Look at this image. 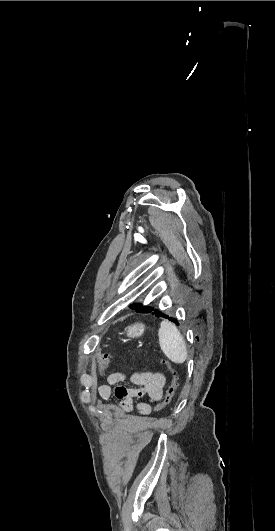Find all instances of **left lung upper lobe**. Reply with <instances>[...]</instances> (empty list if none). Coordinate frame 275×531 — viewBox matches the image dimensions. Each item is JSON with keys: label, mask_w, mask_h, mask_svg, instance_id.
<instances>
[{"label": "left lung upper lobe", "mask_w": 275, "mask_h": 531, "mask_svg": "<svg viewBox=\"0 0 275 531\" xmlns=\"http://www.w3.org/2000/svg\"><path fill=\"white\" fill-rule=\"evenodd\" d=\"M130 308L132 309H135L137 312H145V311H149L153 308H150V307H145V306H142V305H139V304H133L130 306Z\"/></svg>", "instance_id": "5c2ea615"}]
</instances>
